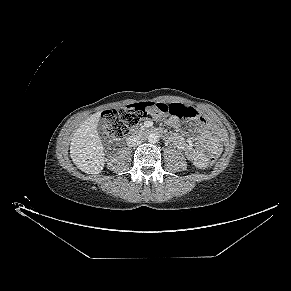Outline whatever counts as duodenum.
<instances>
[{"instance_id":"obj_1","label":"duodenum","mask_w":291,"mask_h":291,"mask_svg":"<svg viewBox=\"0 0 291 291\" xmlns=\"http://www.w3.org/2000/svg\"><path fill=\"white\" fill-rule=\"evenodd\" d=\"M152 132L160 133L159 130L141 129V130L138 131V134L139 135H148V134H150Z\"/></svg>"}]
</instances>
